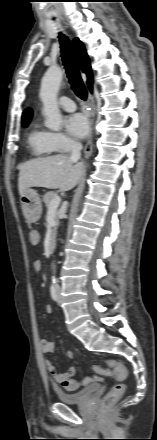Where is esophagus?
I'll return each instance as SVG.
<instances>
[{"label": "esophagus", "mask_w": 157, "mask_h": 440, "mask_svg": "<svg viewBox=\"0 0 157 440\" xmlns=\"http://www.w3.org/2000/svg\"><path fill=\"white\" fill-rule=\"evenodd\" d=\"M87 115L89 120V126L91 130V134L89 136V139L84 147V157L88 158L93 150V140H92V129H93V123H94V117H95V103L92 95L89 93L88 99H87Z\"/></svg>", "instance_id": "34e87169"}]
</instances>
